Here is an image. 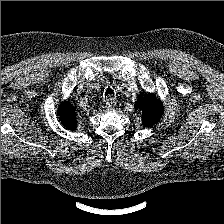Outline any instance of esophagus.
Segmentation results:
<instances>
[{
	"label": "esophagus",
	"mask_w": 224,
	"mask_h": 224,
	"mask_svg": "<svg viewBox=\"0 0 224 224\" xmlns=\"http://www.w3.org/2000/svg\"><path fill=\"white\" fill-rule=\"evenodd\" d=\"M106 105L109 110H112L114 108V99L111 96L108 97V99L106 101Z\"/></svg>",
	"instance_id": "34e87169"
}]
</instances>
